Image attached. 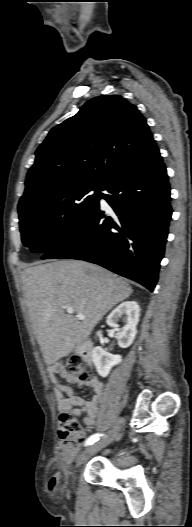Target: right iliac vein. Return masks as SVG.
I'll return each mask as SVG.
<instances>
[{
	"instance_id": "1",
	"label": "right iliac vein",
	"mask_w": 192,
	"mask_h": 527,
	"mask_svg": "<svg viewBox=\"0 0 192 527\" xmlns=\"http://www.w3.org/2000/svg\"><path fill=\"white\" fill-rule=\"evenodd\" d=\"M121 424V419H118L111 430L110 436L104 437L94 443L93 445L86 448L83 453L79 456L77 460V466H80L81 464L85 463L92 455H94L95 453L109 445L111 442H113L120 432Z\"/></svg>"
}]
</instances>
